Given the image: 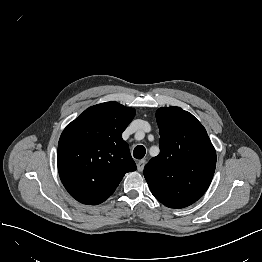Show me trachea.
<instances>
[{
  "label": "trachea",
  "instance_id": "3493384b",
  "mask_svg": "<svg viewBox=\"0 0 262 262\" xmlns=\"http://www.w3.org/2000/svg\"><path fill=\"white\" fill-rule=\"evenodd\" d=\"M146 154V149L144 146L142 145H138L134 148V151H133V156L136 158V159H142Z\"/></svg>",
  "mask_w": 262,
  "mask_h": 262
}]
</instances>
